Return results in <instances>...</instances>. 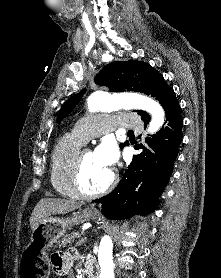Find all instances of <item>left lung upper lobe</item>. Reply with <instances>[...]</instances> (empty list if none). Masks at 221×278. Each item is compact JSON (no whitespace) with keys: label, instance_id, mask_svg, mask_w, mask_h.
I'll list each match as a JSON object with an SVG mask.
<instances>
[{"label":"left lung upper lobe","instance_id":"1","mask_svg":"<svg viewBox=\"0 0 221 278\" xmlns=\"http://www.w3.org/2000/svg\"><path fill=\"white\" fill-rule=\"evenodd\" d=\"M98 85L107 86L113 92L138 91L155 97L164 110L176 100L173 89L167 85L163 76L149 64L141 61H116L106 65L94 78ZM85 89L72 96L61 107L57 122L65 118L77 105ZM143 121L150 120L144 111H138ZM128 145V141L120 147Z\"/></svg>","mask_w":221,"mask_h":278}]
</instances>
